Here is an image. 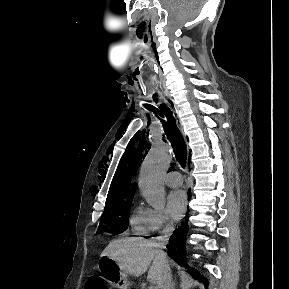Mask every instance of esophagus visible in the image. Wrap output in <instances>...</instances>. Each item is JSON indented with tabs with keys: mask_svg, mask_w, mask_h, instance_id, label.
Instances as JSON below:
<instances>
[{
	"mask_svg": "<svg viewBox=\"0 0 289 289\" xmlns=\"http://www.w3.org/2000/svg\"><path fill=\"white\" fill-rule=\"evenodd\" d=\"M171 110L173 111V115L174 117L177 119L178 118V110L173 102V100L171 102L168 103ZM180 128L182 129V124L180 123Z\"/></svg>",
	"mask_w": 289,
	"mask_h": 289,
	"instance_id": "1",
	"label": "esophagus"
}]
</instances>
